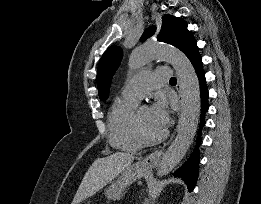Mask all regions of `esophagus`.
Returning a JSON list of instances; mask_svg holds the SVG:
<instances>
[{
	"label": "esophagus",
	"instance_id": "34e87169",
	"mask_svg": "<svg viewBox=\"0 0 261 204\" xmlns=\"http://www.w3.org/2000/svg\"><path fill=\"white\" fill-rule=\"evenodd\" d=\"M177 90L179 92V101L182 104L183 100H182V95H181L179 86H178ZM181 121H182V114H180V116H179L178 127L180 126ZM162 154H163L162 150H156V151L152 152L151 154L147 155L144 159H142L139 162L140 167H142L144 169L154 168L160 162Z\"/></svg>",
	"mask_w": 261,
	"mask_h": 204
}]
</instances>
